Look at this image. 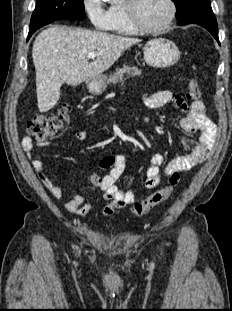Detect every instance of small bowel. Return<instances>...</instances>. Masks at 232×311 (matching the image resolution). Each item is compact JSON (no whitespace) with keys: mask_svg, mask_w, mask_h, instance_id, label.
Listing matches in <instances>:
<instances>
[{"mask_svg":"<svg viewBox=\"0 0 232 311\" xmlns=\"http://www.w3.org/2000/svg\"><path fill=\"white\" fill-rule=\"evenodd\" d=\"M169 103L187 113L186 116L180 118L179 124L184 131L196 134L198 142L190 153L167 164H165L164 155L154 154L145 174L144 186L148 189L159 185L162 173L169 175L174 172L188 171L202 164L210 155L217 136V126L206 116L205 106L200 100L187 102L170 90H158L144 96V104L150 109H156ZM86 137V131L80 130L74 133V138L78 141L85 140ZM49 144L50 141L48 140H36L34 136L27 135L23 138L21 147L32 162L41 182L55 198L60 199L63 196L62 188L52 181L43 161L32 156V150L35 146L43 147ZM100 166L105 173L103 175H92L88 181L101 190L100 200L107 202L102 213L103 216L110 217L118 214L125 205L136 202L137 196L131 191L118 188L116 184L125 168V157L123 155L106 156L100 161ZM94 204L93 201L84 202L83 195L76 193L66 202L65 207L70 213L84 217L90 212Z\"/></svg>","mask_w":232,"mask_h":311,"instance_id":"small-bowel-1","label":"small bowel"}]
</instances>
